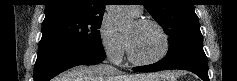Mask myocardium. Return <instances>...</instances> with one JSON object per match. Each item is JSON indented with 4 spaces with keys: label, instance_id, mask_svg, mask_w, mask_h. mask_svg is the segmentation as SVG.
<instances>
[{
    "label": "myocardium",
    "instance_id": "f54148a6",
    "mask_svg": "<svg viewBox=\"0 0 237 81\" xmlns=\"http://www.w3.org/2000/svg\"><path fill=\"white\" fill-rule=\"evenodd\" d=\"M136 24L139 26H149V25L154 26L159 31V33L161 34V36L163 38L164 47H163L162 52L158 56H156L152 59H145V60L139 59L134 55L131 45H130V42H129L128 38L125 37L127 53H128V57H129L130 61L136 65H149V64L157 63V62L161 61L162 59H164L170 49V39H169V36L166 33V31L164 30V28L158 22H156L154 20H150V19H138L136 21Z\"/></svg>",
    "mask_w": 237,
    "mask_h": 81
}]
</instances>
